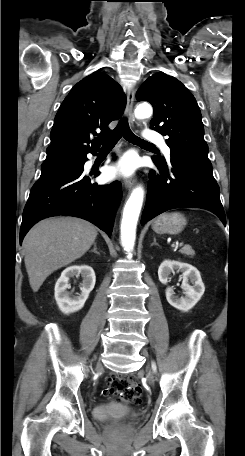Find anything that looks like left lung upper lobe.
<instances>
[{
    "mask_svg": "<svg viewBox=\"0 0 245 456\" xmlns=\"http://www.w3.org/2000/svg\"><path fill=\"white\" fill-rule=\"evenodd\" d=\"M136 98L152 104L150 126L168 136L170 155L211 165L199 106L183 83L166 74H154L140 86Z\"/></svg>",
    "mask_w": 245,
    "mask_h": 456,
    "instance_id": "1",
    "label": "left lung upper lobe"
}]
</instances>
